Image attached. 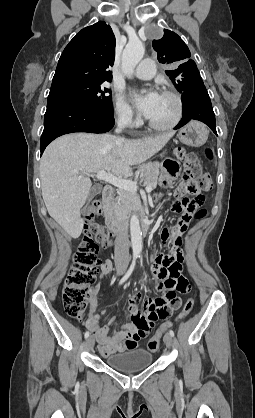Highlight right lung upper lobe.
Returning a JSON list of instances; mask_svg holds the SVG:
<instances>
[{
    "mask_svg": "<svg viewBox=\"0 0 255 418\" xmlns=\"http://www.w3.org/2000/svg\"><path fill=\"white\" fill-rule=\"evenodd\" d=\"M115 59V36L105 22L82 29L65 47L52 85L71 82L111 81Z\"/></svg>",
    "mask_w": 255,
    "mask_h": 418,
    "instance_id": "1",
    "label": "right lung upper lobe"
}]
</instances>
